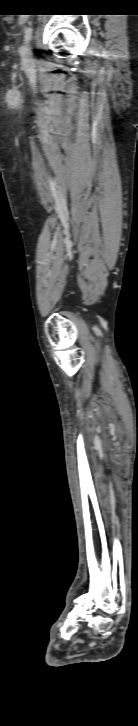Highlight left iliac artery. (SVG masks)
Returning a JSON list of instances; mask_svg holds the SVG:
<instances>
[{
  "instance_id": "44dca946",
  "label": "left iliac artery",
  "mask_w": 138,
  "mask_h": 726,
  "mask_svg": "<svg viewBox=\"0 0 138 726\" xmlns=\"http://www.w3.org/2000/svg\"><path fill=\"white\" fill-rule=\"evenodd\" d=\"M32 31H33L32 27H27L25 29V34H24L25 42H29L30 41V39L32 37Z\"/></svg>"
}]
</instances>
